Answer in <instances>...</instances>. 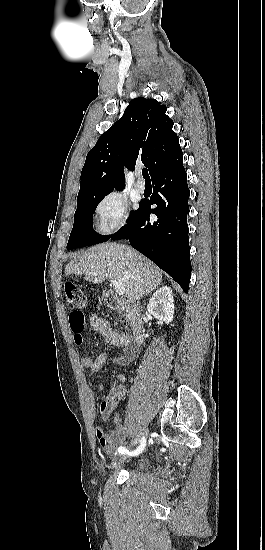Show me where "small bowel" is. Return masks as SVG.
<instances>
[{"label":"small bowel","mask_w":265,"mask_h":550,"mask_svg":"<svg viewBox=\"0 0 265 550\" xmlns=\"http://www.w3.org/2000/svg\"><path fill=\"white\" fill-rule=\"evenodd\" d=\"M90 329L93 333L100 334L109 344L124 348V354L114 359L116 362L128 363L137 355L138 349L132 345V339L127 335L111 329L104 319L95 315L91 316ZM82 336L83 331L80 333L79 339H82ZM108 358V353L104 352L99 354L94 359L86 357L83 359L82 363L85 368L95 374L102 369ZM97 390H102V385L100 383H97L93 388H90L88 392L89 400L93 407L95 402V393ZM107 412L108 410L104 409L101 405L100 414L103 418H106ZM94 432L102 449L108 452L114 445L122 443L125 440L126 424L120 419H117V427L111 432L105 433L101 427H95Z\"/></svg>","instance_id":"obj_1"}]
</instances>
